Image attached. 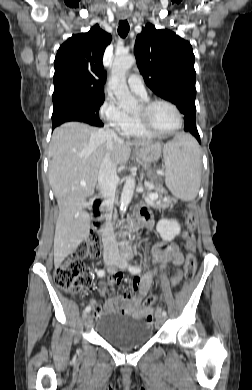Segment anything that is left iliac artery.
<instances>
[{
	"label": "left iliac artery",
	"instance_id": "left-iliac-artery-1",
	"mask_svg": "<svg viewBox=\"0 0 252 390\" xmlns=\"http://www.w3.org/2000/svg\"><path fill=\"white\" fill-rule=\"evenodd\" d=\"M129 271L133 274H138L141 272V269L139 267H136V266H130L129 267ZM162 315L163 316H166V312L165 311H162Z\"/></svg>",
	"mask_w": 252,
	"mask_h": 390
}]
</instances>
